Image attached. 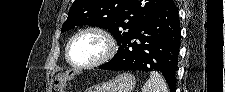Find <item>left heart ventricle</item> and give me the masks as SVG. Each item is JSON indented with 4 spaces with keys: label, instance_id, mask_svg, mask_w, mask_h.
Listing matches in <instances>:
<instances>
[{
    "label": "left heart ventricle",
    "instance_id": "obj_1",
    "mask_svg": "<svg viewBox=\"0 0 225 92\" xmlns=\"http://www.w3.org/2000/svg\"><path fill=\"white\" fill-rule=\"evenodd\" d=\"M106 50L104 40L93 33L79 36L71 45L70 57L77 64H86L100 58Z\"/></svg>",
    "mask_w": 225,
    "mask_h": 92
}]
</instances>
